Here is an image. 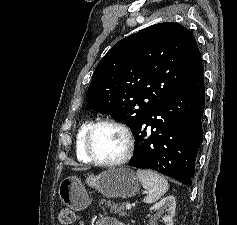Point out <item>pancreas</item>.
Returning a JSON list of instances; mask_svg holds the SVG:
<instances>
[{"label": "pancreas", "instance_id": "1", "mask_svg": "<svg viewBox=\"0 0 237 225\" xmlns=\"http://www.w3.org/2000/svg\"><path fill=\"white\" fill-rule=\"evenodd\" d=\"M99 205L102 206L103 210H108L109 213L117 214L119 217H124L126 215L124 203L117 204L110 200L106 201L105 199H102L99 202Z\"/></svg>", "mask_w": 237, "mask_h": 225}]
</instances>
